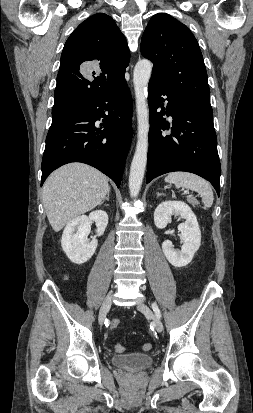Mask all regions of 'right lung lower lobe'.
<instances>
[{
    "label": "right lung lower lobe",
    "mask_w": 253,
    "mask_h": 413,
    "mask_svg": "<svg viewBox=\"0 0 253 413\" xmlns=\"http://www.w3.org/2000/svg\"><path fill=\"white\" fill-rule=\"evenodd\" d=\"M103 118L101 127L95 122ZM132 98L126 81L62 115L53 117L42 159L41 185L56 168L89 164L119 187L132 140Z\"/></svg>",
    "instance_id": "right-lung-lower-lobe-1"
}]
</instances>
